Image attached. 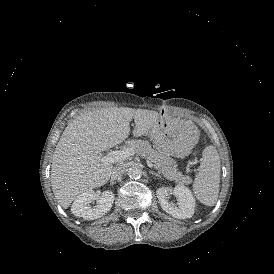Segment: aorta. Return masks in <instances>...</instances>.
I'll list each match as a JSON object with an SVG mask.
<instances>
[{"label": "aorta", "mask_w": 274, "mask_h": 274, "mask_svg": "<svg viewBox=\"0 0 274 274\" xmlns=\"http://www.w3.org/2000/svg\"><path fill=\"white\" fill-rule=\"evenodd\" d=\"M128 175L132 179H139L142 175V170L138 166L129 168Z\"/></svg>", "instance_id": "obj_1"}]
</instances>
